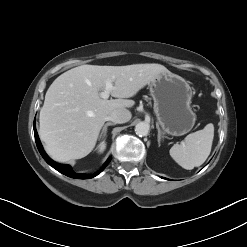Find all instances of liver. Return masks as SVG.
<instances>
[{
  "instance_id": "1",
  "label": "liver",
  "mask_w": 247,
  "mask_h": 247,
  "mask_svg": "<svg viewBox=\"0 0 247 247\" xmlns=\"http://www.w3.org/2000/svg\"><path fill=\"white\" fill-rule=\"evenodd\" d=\"M165 72L170 71L153 63L81 65L61 74L47 90L39 116V136L48 155L59 162L87 156L109 113L134 106L135 102L127 98ZM108 80L114 83L111 95L117 99L100 96Z\"/></svg>"
}]
</instances>
